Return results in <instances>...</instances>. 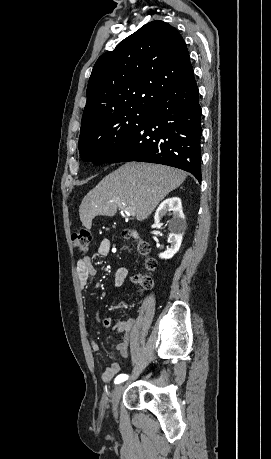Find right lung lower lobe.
<instances>
[{"instance_id": "obj_1", "label": "right lung lower lobe", "mask_w": 271, "mask_h": 459, "mask_svg": "<svg viewBox=\"0 0 271 459\" xmlns=\"http://www.w3.org/2000/svg\"><path fill=\"white\" fill-rule=\"evenodd\" d=\"M201 116L193 76L153 102L149 116L107 163L169 165L192 173L201 183Z\"/></svg>"}]
</instances>
